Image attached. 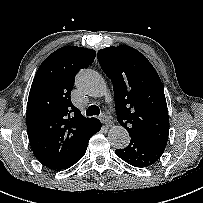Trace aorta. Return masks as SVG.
Returning a JSON list of instances; mask_svg holds the SVG:
<instances>
[{
  "label": "aorta",
  "instance_id": "762f6f07",
  "mask_svg": "<svg viewBox=\"0 0 203 203\" xmlns=\"http://www.w3.org/2000/svg\"><path fill=\"white\" fill-rule=\"evenodd\" d=\"M76 86L79 91L91 97H101L107 91L104 79L90 69L81 70L76 77ZM108 141L115 149H124L130 143L127 130L120 126H113L108 132Z\"/></svg>",
  "mask_w": 203,
  "mask_h": 203
}]
</instances>
